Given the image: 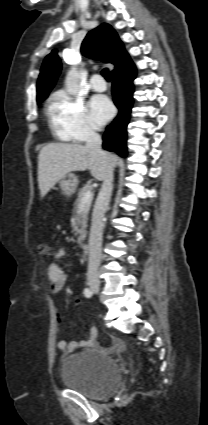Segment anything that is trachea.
<instances>
[{
	"label": "trachea",
	"mask_w": 208,
	"mask_h": 425,
	"mask_svg": "<svg viewBox=\"0 0 208 425\" xmlns=\"http://www.w3.org/2000/svg\"><path fill=\"white\" fill-rule=\"evenodd\" d=\"M101 74L107 81H110L111 78H110V74H109V71H108L107 68L103 69L101 71Z\"/></svg>",
	"instance_id": "1"
}]
</instances>
